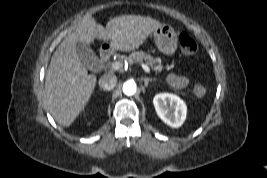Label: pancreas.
Wrapping results in <instances>:
<instances>
[{"mask_svg":"<svg viewBox=\"0 0 267 178\" xmlns=\"http://www.w3.org/2000/svg\"><path fill=\"white\" fill-rule=\"evenodd\" d=\"M132 62H145L156 73H160L163 69L162 61L160 58H154L144 53H136L131 57Z\"/></svg>","mask_w":267,"mask_h":178,"instance_id":"cf45deb5","label":"pancreas"}]
</instances>
